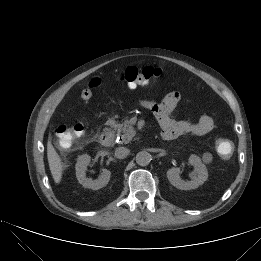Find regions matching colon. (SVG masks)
<instances>
[{
    "instance_id": "1",
    "label": "colon",
    "mask_w": 261,
    "mask_h": 261,
    "mask_svg": "<svg viewBox=\"0 0 261 261\" xmlns=\"http://www.w3.org/2000/svg\"><path fill=\"white\" fill-rule=\"evenodd\" d=\"M162 76V70L154 67L137 68L134 66L127 67L122 70L117 79L124 83L133 85H144L150 81L158 79ZM101 85L99 78H93L84 87L81 92L83 100L88 101L92 98L94 90ZM55 134L58 138L59 144L63 148L70 147L77 139L84 134V126L81 123L74 124L72 126L61 125L55 129ZM216 151L223 159H230L234 153V144L232 141L226 138H219L216 141Z\"/></svg>"
}]
</instances>
